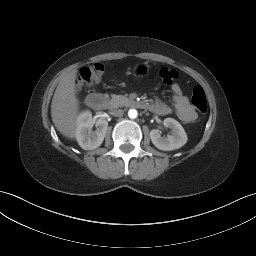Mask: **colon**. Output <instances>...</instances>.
<instances>
[{
    "label": "colon",
    "mask_w": 256,
    "mask_h": 256,
    "mask_svg": "<svg viewBox=\"0 0 256 256\" xmlns=\"http://www.w3.org/2000/svg\"><path fill=\"white\" fill-rule=\"evenodd\" d=\"M104 66L101 63H94L83 67L78 74L79 85H91L93 82L99 80L103 74ZM159 79L163 84L170 85L178 79V73L175 69L162 67L159 70ZM191 101L193 106L200 112L207 111L206 94L202 86L196 85L192 90Z\"/></svg>",
    "instance_id": "5ec220e1"
}]
</instances>
